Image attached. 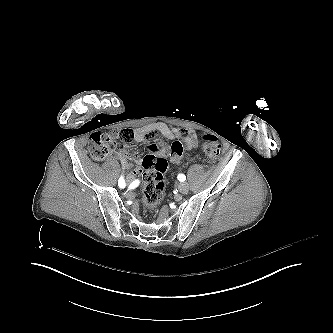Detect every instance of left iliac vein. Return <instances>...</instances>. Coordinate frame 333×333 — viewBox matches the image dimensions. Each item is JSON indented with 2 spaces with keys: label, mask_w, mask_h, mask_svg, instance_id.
Wrapping results in <instances>:
<instances>
[{
  "label": "left iliac vein",
  "mask_w": 333,
  "mask_h": 333,
  "mask_svg": "<svg viewBox=\"0 0 333 333\" xmlns=\"http://www.w3.org/2000/svg\"><path fill=\"white\" fill-rule=\"evenodd\" d=\"M178 190L182 194H186L189 190V185L186 182H182L178 186Z\"/></svg>",
  "instance_id": "obj_1"
}]
</instances>
